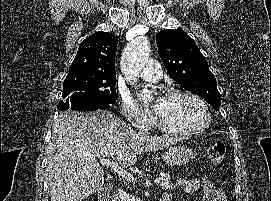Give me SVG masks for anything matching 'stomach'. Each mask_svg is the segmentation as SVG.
Returning a JSON list of instances; mask_svg holds the SVG:
<instances>
[{
  "label": "stomach",
  "mask_w": 271,
  "mask_h": 201,
  "mask_svg": "<svg viewBox=\"0 0 271 201\" xmlns=\"http://www.w3.org/2000/svg\"><path fill=\"white\" fill-rule=\"evenodd\" d=\"M195 157V152L185 146L170 147L164 154V160L168 166H181L189 163Z\"/></svg>",
  "instance_id": "obj_1"
}]
</instances>
